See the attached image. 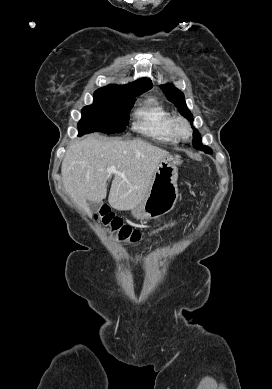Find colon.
Instances as JSON below:
<instances>
[{
	"mask_svg": "<svg viewBox=\"0 0 272 389\" xmlns=\"http://www.w3.org/2000/svg\"><path fill=\"white\" fill-rule=\"evenodd\" d=\"M99 220L113 233L116 238L124 243L136 244L143 238V233L140 230L134 229L131 226L124 224L121 218L109 211L107 208H103L99 212ZM179 221H173L166 225L155 229L152 234L158 232H169L177 227Z\"/></svg>",
	"mask_w": 272,
	"mask_h": 389,
	"instance_id": "colon-1",
	"label": "colon"
}]
</instances>
